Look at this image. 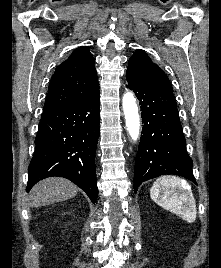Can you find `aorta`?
I'll use <instances>...</instances> for the list:
<instances>
[{
	"mask_svg": "<svg viewBox=\"0 0 221 268\" xmlns=\"http://www.w3.org/2000/svg\"><path fill=\"white\" fill-rule=\"evenodd\" d=\"M122 106L125 115L127 131L133 141H136L140 134V118L134 94L130 91L123 95Z\"/></svg>",
	"mask_w": 221,
	"mask_h": 268,
	"instance_id": "obj_1",
	"label": "aorta"
}]
</instances>
